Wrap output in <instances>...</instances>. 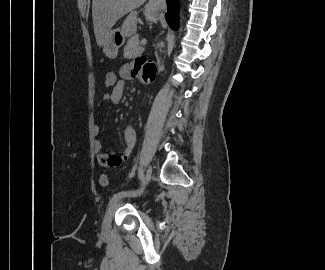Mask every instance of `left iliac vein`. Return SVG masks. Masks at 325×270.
<instances>
[{
  "label": "left iliac vein",
  "instance_id": "obj_1",
  "mask_svg": "<svg viewBox=\"0 0 325 270\" xmlns=\"http://www.w3.org/2000/svg\"><path fill=\"white\" fill-rule=\"evenodd\" d=\"M151 175H152V167L149 166L145 176H144V180L142 182V187L141 192L144 190V188L147 186V184L149 183L150 179H151ZM122 201V198L115 200L109 207V209L107 210L105 216H104V220H103V224H102V233L104 235H108L111 232V222L115 213V210L117 209V207L119 206L120 202Z\"/></svg>",
  "mask_w": 325,
  "mask_h": 270
}]
</instances>
